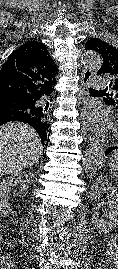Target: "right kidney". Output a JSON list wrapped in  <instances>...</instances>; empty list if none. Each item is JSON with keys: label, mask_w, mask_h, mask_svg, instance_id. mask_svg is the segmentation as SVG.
Masks as SVG:
<instances>
[{"label": "right kidney", "mask_w": 118, "mask_h": 269, "mask_svg": "<svg viewBox=\"0 0 118 269\" xmlns=\"http://www.w3.org/2000/svg\"><path fill=\"white\" fill-rule=\"evenodd\" d=\"M34 180V174L30 171L14 173L11 176L6 177L0 183V213L8 214L11 211L9 198L11 194V188L19 186L18 194H25L28 191L29 185Z\"/></svg>", "instance_id": "obj_1"}]
</instances>
